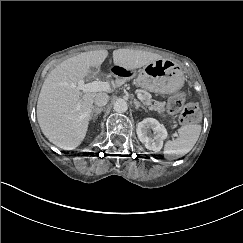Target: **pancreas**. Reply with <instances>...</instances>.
<instances>
[{
  "mask_svg": "<svg viewBox=\"0 0 243 243\" xmlns=\"http://www.w3.org/2000/svg\"><path fill=\"white\" fill-rule=\"evenodd\" d=\"M144 103L148 106H151L152 109L158 111V115L162 118H165L168 116V114L166 113V103L165 102H153L152 99L150 98H144ZM168 123L170 124L169 127L170 129H176L178 126L177 120L176 119H172V120H168Z\"/></svg>",
  "mask_w": 243,
  "mask_h": 243,
  "instance_id": "pancreas-1",
  "label": "pancreas"
}]
</instances>
